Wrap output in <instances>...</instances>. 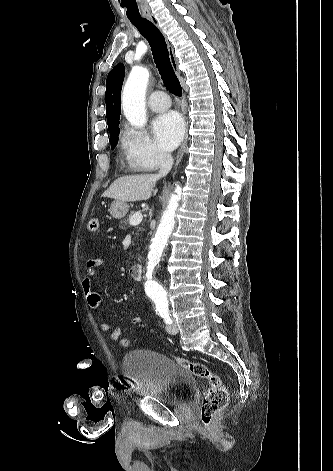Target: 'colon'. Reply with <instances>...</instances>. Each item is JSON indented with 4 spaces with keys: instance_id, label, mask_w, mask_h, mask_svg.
I'll list each match as a JSON object with an SVG mask.
<instances>
[{
    "instance_id": "colon-1",
    "label": "colon",
    "mask_w": 333,
    "mask_h": 471,
    "mask_svg": "<svg viewBox=\"0 0 333 471\" xmlns=\"http://www.w3.org/2000/svg\"><path fill=\"white\" fill-rule=\"evenodd\" d=\"M99 229V219L96 217L88 221V230L96 232ZM123 348L130 345V340L120 337L117 341ZM176 362L183 368L190 371L194 376L207 379L209 388L204 394L201 406V422L205 430H210L217 414L228 404V392L224 387L221 378L212 372L205 364L193 362L183 357H175Z\"/></svg>"
}]
</instances>
